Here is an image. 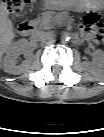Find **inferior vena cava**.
Listing matches in <instances>:
<instances>
[{
    "instance_id": "inferior-vena-cava-1",
    "label": "inferior vena cava",
    "mask_w": 104,
    "mask_h": 137,
    "mask_svg": "<svg viewBox=\"0 0 104 137\" xmlns=\"http://www.w3.org/2000/svg\"><path fill=\"white\" fill-rule=\"evenodd\" d=\"M44 38H46V33L42 32V31H36L33 35H32V39L33 41H40L43 40Z\"/></svg>"
}]
</instances>
